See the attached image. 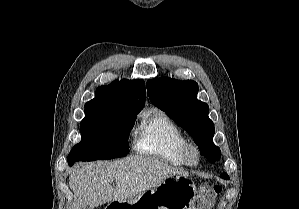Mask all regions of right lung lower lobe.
I'll use <instances>...</instances> for the list:
<instances>
[{
  "mask_svg": "<svg viewBox=\"0 0 299 209\" xmlns=\"http://www.w3.org/2000/svg\"><path fill=\"white\" fill-rule=\"evenodd\" d=\"M70 166H72V163H68Z\"/></svg>",
  "mask_w": 299,
  "mask_h": 209,
  "instance_id": "obj_1",
  "label": "right lung lower lobe"
}]
</instances>
